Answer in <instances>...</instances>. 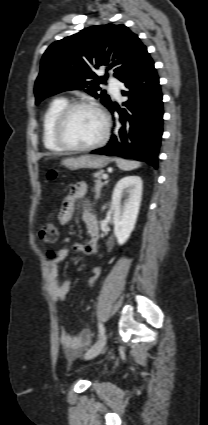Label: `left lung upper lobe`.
<instances>
[{
    "mask_svg": "<svg viewBox=\"0 0 208 425\" xmlns=\"http://www.w3.org/2000/svg\"><path fill=\"white\" fill-rule=\"evenodd\" d=\"M146 52L137 34L123 24L91 26L58 40L42 57L34 88L36 104L65 90L85 89L108 108L110 97L97 93L108 74L99 78L95 70L105 67L122 81L137 68Z\"/></svg>",
    "mask_w": 208,
    "mask_h": 425,
    "instance_id": "obj_1",
    "label": "left lung upper lobe"
}]
</instances>
